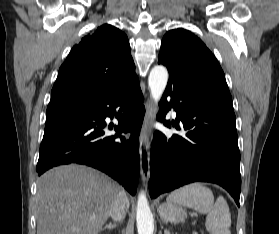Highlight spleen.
<instances>
[{"instance_id":"obj_1","label":"spleen","mask_w":279,"mask_h":234,"mask_svg":"<svg viewBox=\"0 0 279 234\" xmlns=\"http://www.w3.org/2000/svg\"><path fill=\"white\" fill-rule=\"evenodd\" d=\"M167 201L205 213V226L210 234H231V214L227 201L219 196L214 202L212 191L201 183H192L172 192Z\"/></svg>"}]
</instances>
